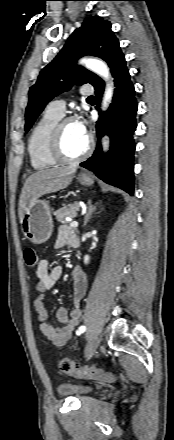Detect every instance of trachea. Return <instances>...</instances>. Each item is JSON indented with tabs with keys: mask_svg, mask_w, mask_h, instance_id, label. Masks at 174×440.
<instances>
[{
	"mask_svg": "<svg viewBox=\"0 0 174 440\" xmlns=\"http://www.w3.org/2000/svg\"><path fill=\"white\" fill-rule=\"evenodd\" d=\"M93 99H95L94 96H89V97L87 98V100H93Z\"/></svg>",
	"mask_w": 174,
	"mask_h": 440,
	"instance_id": "1",
	"label": "trachea"
}]
</instances>
